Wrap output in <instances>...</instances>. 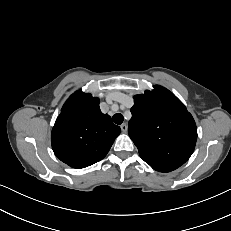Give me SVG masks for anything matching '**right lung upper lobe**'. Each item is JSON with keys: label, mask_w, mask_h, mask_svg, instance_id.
Instances as JSON below:
<instances>
[{"label": "right lung upper lobe", "mask_w": 231, "mask_h": 231, "mask_svg": "<svg viewBox=\"0 0 231 231\" xmlns=\"http://www.w3.org/2000/svg\"><path fill=\"white\" fill-rule=\"evenodd\" d=\"M121 129L99 108V99L81 90L62 107L51 133L52 149L62 162L85 168L102 160Z\"/></svg>", "instance_id": "cb5924a9"}]
</instances>
